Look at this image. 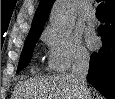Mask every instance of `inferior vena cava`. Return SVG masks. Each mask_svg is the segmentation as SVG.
<instances>
[{"instance_id": "1", "label": "inferior vena cava", "mask_w": 115, "mask_h": 99, "mask_svg": "<svg viewBox=\"0 0 115 99\" xmlns=\"http://www.w3.org/2000/svg\"><path fill=\"white\" fill-rule=\"evenodd\" d=\"M89 60V54L83 52L77 54L72 63L71 77L80 91L81 99H90V90L88 89L86 83Z\"/></svg>"}]
</instances>
